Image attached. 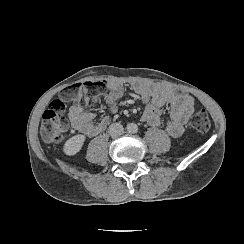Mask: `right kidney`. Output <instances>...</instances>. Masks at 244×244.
<instances>
[{"mask_svg":"<svg viewBox=\"0 0 244 244\" xmlns=\"http://www.w3.org/2000/svg\"><path fill=\"white\" fill-rule=\"evenodd\" d=\"M84 141H85V136L81 134L71 137L64 144V148H63L64 153L66 155H75L77 152L81 150Z\"/></svg>","mask_w":244,"mask_h":244,"instance_id":"ca27d5eb","label":"right kidney"}]
</instances>
